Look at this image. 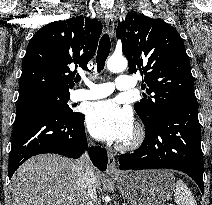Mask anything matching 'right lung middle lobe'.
I'll return each instance as SVG.
<instances>
[{
    "label": "right lung middle lobe",
    "mask_w": 212,
    "mask_h": 205,
    "mask_svg": "<svg viewBox=\"0 0 212 205\" xmlns=\"http://www.w3.org/2000/svg\"><path fill=\"white\" fill-rule=\"evenodd\" d=\"M70 99V94L53 93V92H36L22 97H19L17 101V107L20 105H43L53 108L61 114L70 117L77 118L82 116L79 112H74L67 104Z\"/></svg>",
    "instance_id": "obj_1"
}]
</instances>
